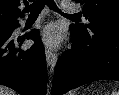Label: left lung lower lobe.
<instances>
[{"instance_id": "left-lung-lower-lobe-1", "label": "left lung lower lobe", "mask_w": 119, "mask_h": 95, "mask_svg": "<svg viewBox=\"0 0 119 95\" xmlns=\"http://www.w3.org/2000/svg\"><path fill=\"white\" fill-rule=\"evenodd\" d=\"M71 50L58 60L52 95L96 80L119 81V31L95 29L81 33L70 26Z\"/></svg>"}]
</instances>
